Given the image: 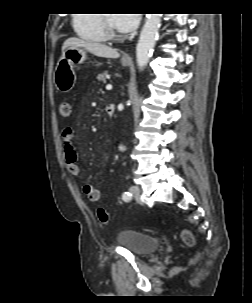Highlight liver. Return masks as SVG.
<instances>
[{"label":"liver","mask_w":252,"mask_h":303,"mask_svg":"<svg viewBox=\"0 0 252 303\" xmlns=\"http://www.w3.org/2000/svg\"><path fill=\"white\" fill-rule=\"evenodd\" d=\"M69 46H78L81 48L86 49L87 51L91 52L92 54L103 57V58H118L120 54L118 53L117 49H113L105 44L86 41L83 39H79L76 37L68 38L62 46V52L65 51Z\"/></svg>","instance_id":"1"}]
</instances>
